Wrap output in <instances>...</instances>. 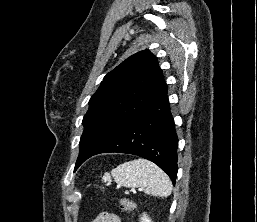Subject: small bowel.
Listing matches in <instances>:
<instances>
[{
	"mask_svg": "<svg viewBox=\"0 0 257 222\" xmlns=\"http://www.w3.org/2000/svg\"><path fill=\"white\" fill-rule=\"evenodd\" d=\"M92 222H122L118 214L102 212Z\"/></svg>",
	"mask_w": 257,
	"mask_h": 222,
	"instance_id": "1",
	"label": "small bowel"
}]
</instances>
